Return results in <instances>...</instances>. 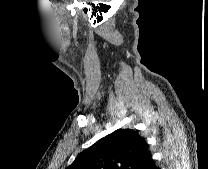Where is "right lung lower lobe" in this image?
Masks as SVG:
<instances>
[{
    "instance_id": "98d812e1",
    "label": "right lung lower lobe",
    "mask_w": 208,
    "mask_h": 169,
    "mask_svg": "<svg viewBox=\"0 0 208 169\" xmlns=\"http://www.w3.org/2000/svg\"><path fill=\"white\" fill-rule=\"evenodd\" d=\"M145 169H156L155 163L152 160L146 167Z\"/></svg>"
}]
</instances>
